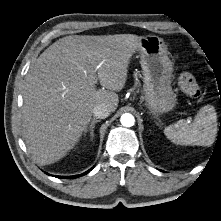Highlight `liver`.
<instances>
[{"label": "liver", "instance_id": "liver-1", "mask_svg": "<svg viewBox=\"0 0 221 221\" xmlns=\"http://www.w3.org/2000/svg\"><path fill=\"white\" fill-rule=\"evenodd\" d=\"M142 37L67 36L49 46L30 66L23 91V138L33 159L52 164L74 148L93 108L114 112L132 55ZM99 66V67H98ZM99 80L97 90L93 81Z\"/></svg>", "mask_w": 221, "mask_h": 221}]
</instances>
